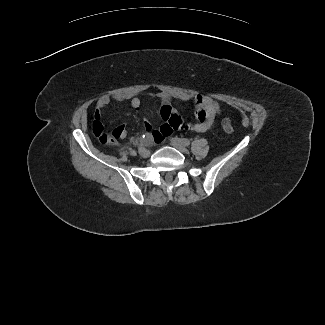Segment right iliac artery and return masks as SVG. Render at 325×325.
Masks as SVG:
<instances>
[{
	"mask_svg": "<svg viewBox=\"0 0 325 325\" xmlns=\"http://www.w3.org/2000/svg\"><path fill=\"white\" fill-rule=\"evenodd\" d=\"M144 149H145V148H144L143 146H139V147H138V151H139V152L143 151Z\"/></svg>",
	"mask_w": 325,
	"mask_h": 325,
	"instance_id": "obj_1",
	"label": "right iliac artery"
}]
</instances>
